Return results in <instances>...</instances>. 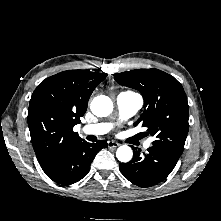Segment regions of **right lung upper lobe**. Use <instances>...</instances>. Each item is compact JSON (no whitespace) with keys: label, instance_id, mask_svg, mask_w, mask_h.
<instances>
[{"label":"right lung upper lobe","instance_id":"cb5924a9","mask_svg":"<svg viewBox=\"0 0 221 221\" xmlns=\"http://www.w3.org/2000/svg\"><path fill=\"white\" fill-rule=\"evenodd\" d=\"M107 73L68 70L43 80L29 104L28 126L42 166L81 142L73 127L87 110L88 100Z\"/></svg>","mask_w":221,"mask_h":221}]
</instances>
